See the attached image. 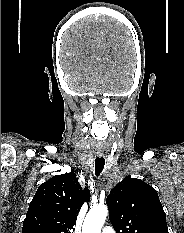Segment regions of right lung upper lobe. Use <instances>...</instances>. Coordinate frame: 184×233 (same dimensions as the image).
<instances>
[{"label":"right lung upper lobe","instance_id":"1","mask_svg":"<svg viewBox=\"0 0 184 233\" xmlns=\"http://www.w3.org/2000/svg\"><path fill=\"white\" fill-rule=\"evenodd\" d=\"M89 199V189H82L74 172L52 177L34 195L22 233H72L77 215Z\"/></svg>","mask_w":184,"mask_h":233}]
</instances>
